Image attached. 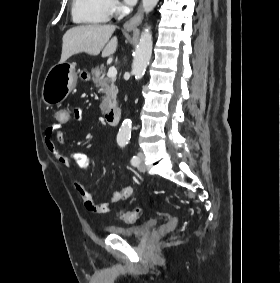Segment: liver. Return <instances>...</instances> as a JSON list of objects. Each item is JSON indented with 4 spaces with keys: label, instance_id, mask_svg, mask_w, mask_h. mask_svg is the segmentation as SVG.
Wrapping results in <instances>:
<instances>
[{
    "label": "liver",
    "instance_id": "6515ba94",
    "mask_svg": "<svg viewBox=\"0 0 280 283\" xmlns=\"http://www.w3.org/2000/svg\"><path fill=\"white\" fill-rule=\"evenodd\" d=\"M115 25H80L69 29L63 36L62 54L59 63H64L71 56L87 53L96 56L102 51V57L115 53L117 37H112Z\"/></svg>",
    "mask_w": 280,
    "mask_h": 283
}]
</instances>
